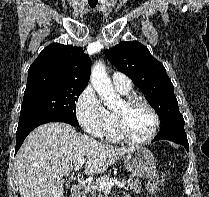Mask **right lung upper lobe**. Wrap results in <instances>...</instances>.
Listing matches in <instances>:
<instances>
[{"label":"right lung upper lobe","mask_w":209,"mask_h":197,"mask_svg":"<svg viewBox=\"0 0 209 197\" xmlns=\"http://www.w3.org/2000/svg\"><path fill=\"white\" fill-rule=\"evenodd\" d=\"M91 60L83 48L53 43L44 48L28 70V82L45 80L87 85Z\"/></svg>","instance_id":"1"}]
</instances>
